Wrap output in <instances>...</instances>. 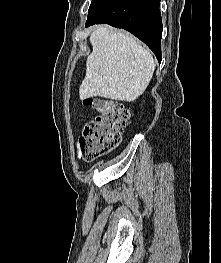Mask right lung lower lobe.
Listing matches in <instances>:
<instances>
[{
    "label": "right lung lower lobe",
    "instance_id": "obj_1",
    "mask_svg": "<svg viewBox=\"0 0 221 263\" xmlns=\"http://www.w3.org/2000/svg\"><path fill=\"white\" fill-rule=\"evenodd\" d=\"M160 0H111L94 17L87 19L86 27L108 23L128 30L143 41L156 55H161L162 19Z\"/></svg>",
    "mask_w": 221,
    "mask_h": 263
}]
</instances>
